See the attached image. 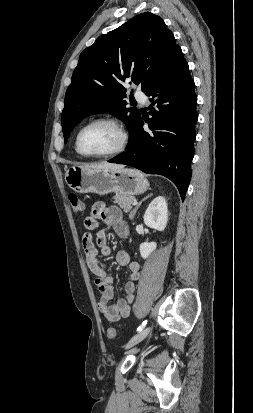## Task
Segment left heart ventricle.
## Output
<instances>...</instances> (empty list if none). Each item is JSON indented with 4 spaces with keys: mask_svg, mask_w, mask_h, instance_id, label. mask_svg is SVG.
<instances>
[{
    "mask_svg": "<svg viewBox=\"0 0 253 413\" xmlns=\"http://www.w3.org/2000/svg\"><path fill=\"white\" fill-rule=\"evenodd\" d=\"M120 134L111 125L98 123L86 128L80 137L81 150L87 154H100L114 150Z\"/></svg>",
    "mask_w": 253,
    "mask_h": 413,
    "instance_id": "b2bd125f",
    "label": "left heart ventricle"
}]
</instances>
